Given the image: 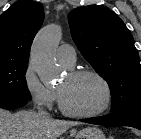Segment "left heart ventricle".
I'll return each instance as SVG.
<instances>
[{
  "instance_id": "b2bd125f",
  "label": "left heart ventricle",
  "mask_w": 141,
  "mask_h": 139,
  "mask_svg": "<svg viewBox=\"0 0 141 139\" xmlns=\"http://www.w3.org/2000/svg\"><path fill=\"white\" fill-rule=\"evenodd\" d=\"M57 89L62 92L67 106L77 112L97 111L105 102L103 85L91 76L72 79L67 75Z\"/></svg>"
}]
</instances>
